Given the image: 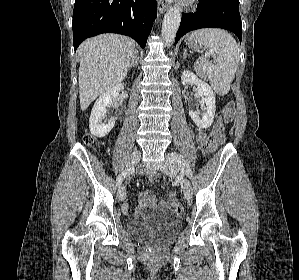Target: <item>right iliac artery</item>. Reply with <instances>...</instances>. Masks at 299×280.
Listing matches in <instances>:
<instances>
[{"instance_id": "obj_1", "label": "right iliac artery", "mask_w": 299, "mask_h": 280, "mask_svg": "<svg viewBox=\"0 0 299 280\" xmlns=\"http://www.w3.org/2000/svg\"><path fill=\"white\" fill-rule=\"evenodd\" d=\"M133 169L127 168L125 169L118 177H117V186L120 187L125 177L129 176L132 173Z\"/></svg>"}]
</instances>
